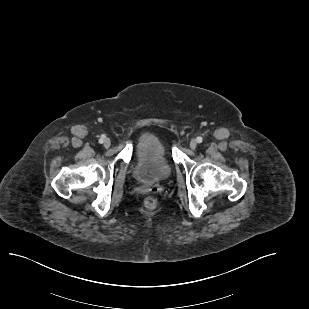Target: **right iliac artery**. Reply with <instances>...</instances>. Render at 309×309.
Returning <instances> with one entry per match:
<instances>
[{"label":"right iliac artery","instance_id":"1","mask_svg":"<svg viewBox=\"0 0 309 309\" xmlns=\"http://www.w3.org/2000/svg\"><path fill=\"white\" fill-rule=\"evenodd\" d=\"M105 136L103 135L100 139H99V143H103Z\"/></svg>","mask_w":309,"mask_h":309}]
</instances>
